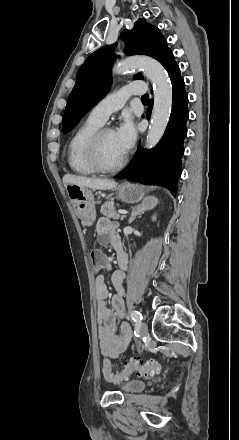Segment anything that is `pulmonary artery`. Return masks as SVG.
<instances>
[{"mask_svg": "<svg viewBox=\"0 0 239 440\" xmlns=\"http://www.w3.org/2000/svg\"><path fill=\"white\" fill-rule=\"evenodd\" d=\"M145 89V86L138 81L126 85L121 91L111 93L100 100L92 108L88 118L98 124H104L112 112H115L124 106L126 99L130 95L142 94Z\"/></svg>", "mask_w": 239, "mask_h": 440, "instance_id": "obj_1", "label": "pulmonary artery"}]
</instances>
